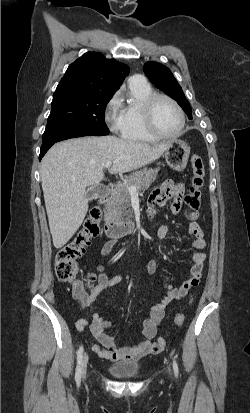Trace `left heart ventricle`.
Masks as SVG:
<instances>
[{
  "label": "left heart ventricle",
  "mask_w": 250,
  "mask_h": 413,
  "mask_svg": "<svg viewBox=\"0 0 250 413\" xmlns=\"http://www.w3.org/2000/svg\"><path fill=\"white\" fill-rule=\"evenodd\" d=\"M154 124L163 134H173L180 126V116L176 108L166 100H159L154 109Z\"/></svg>",
  "instance_id": "left-heart-ventricle-1"
}]
</instances>
